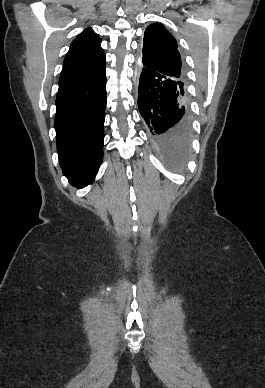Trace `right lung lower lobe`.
I'll use <instances>...</instances> for the list:
<instances>
[{
    "mask_svg": "<svg viewBox=\"0 0 265 388\" xmlns=\"http://www.w3.org/2000/svg\"><path fill=\"white\" fill-rule=\"evenodd\" d=\"M106 102L105 73L58 90L54 127L59 162L79 189L92 183L102 162Z\"/></svg>",
    "mask_w": 265,
    "mask_h": 388,
    "instance_id": "right-lung-lower-lobe-1",
    "label": "right lung lower lobe"
}]
</instances>
